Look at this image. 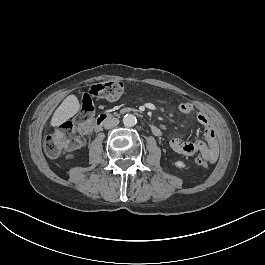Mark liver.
<instances>
[{
  "mask_svg": "<svg viewBox=\"0 0 265 265\" xmlns=\"http://www.w3.org/2000/svg\"><path fill=\"white\" fill-rule=\"evenodd\" d=\"M80 108L79 101L75 95L67 96L61 105L54 112L51 119V126H60L69 118L73 117Z\"/></svg>",
  "mask_w": 265,
  "mask_h": 265,
  "instance_id": "liver-1",
  "label": "liver"
}]
</instances>
